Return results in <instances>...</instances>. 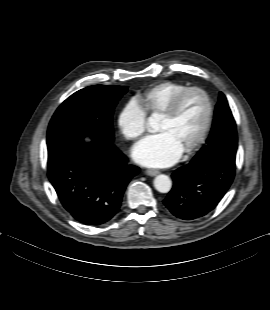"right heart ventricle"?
<instances>
[{
  "mask_svg": "<svg viewBox=\"0 0 270 310\" xmlns=\"http://www.w3.org/2000/svg\"><path fill=\"white\" fill-rule=\"evenodd\" d=\"M187 87L183 83L164 81L144 90L139 99L148 114H159L178 92Z\"/></svg>",
  "mask_w": 270,
  "mask_h": 310,
  "instance_id": "e07e8e85",
  "label": "right heart ventricle"
}]
</instances>
